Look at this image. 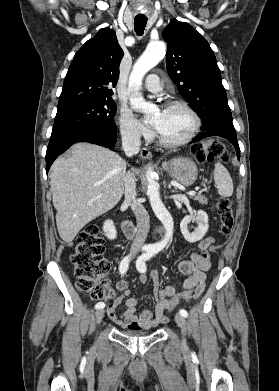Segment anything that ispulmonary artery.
Here are the masks:
<instances>
[{"instance_id": "1", "label": "pulmonary artery", "mask_w": 279, "mask_h": 391, "mask_svg": "<svg viewBox=\"0 0 279 391\" xmlns=\"http://www.w3.org/2000/svg\"><path fill=\"white\" fill-rule=\"evenodd\" d=\"M144 89L151 93H158L162 90L160 78L157 74H151L146 78Z\"/></svg>"}]
</instances>
